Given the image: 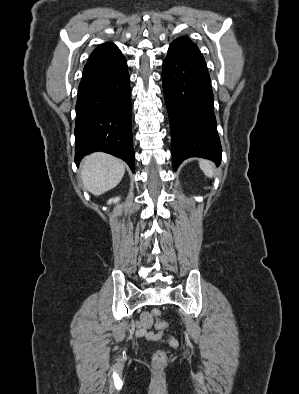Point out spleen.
<instances>
[{
	"instance_id": "3e777b00",
	"label": "spleen",
	"mask_w": 299,
	"mask_h": 394,
	"mask_svg": "<svg viewBox=\"0 0 299 394\" xmlns=\"http://www.w3.org/2000/svg\"><path fill=\"white\" fill-rule=\"evenodd\" d=\"M199 166L207 177L212 178L214 176L215 166L211 161L199 159Z\"/></svg>"
}]
</instances>
